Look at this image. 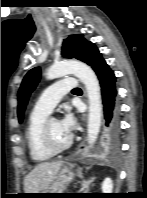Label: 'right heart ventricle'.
Masks as SVG:
<instances>
[{"label": "right heart ventricle", "mask_w": 147, "mask_h": 198, "mask_svg": "<svg viewBox=\"0 0 147 198\" xmlns=\"http://www.w3.org/2000/svg\"><path fill=\"white\" fill-rule=\"evenodd\" d=\"M47 115V113L33 110L26 125L25 140L29 156L35 163L46 162L53 156L44 148L42 143V128Z\"/></svg>", "instance_id": "obj_1"}]
</instances>
